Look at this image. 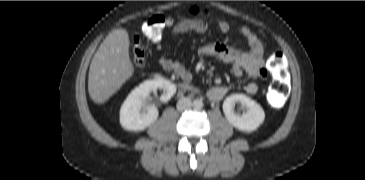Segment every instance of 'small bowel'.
<instances>
[{"instance_id":"1","label":"small bowel","mask_w":365,"mask_h":180,"mask_svg":"<svg viewBox=\"0 0 365 180\" xmlns=\"http://www.w3.org/2000/svg\"><path fill=\"white\" fill-rule=\"evenodd\" d=\"M165 20L166 26L174 36L190 31L204 33L208 29L204 21L191 20L183 16L177 19L167 17ZM217 26L222 33H228L230 30V25L224 20H217ZM240 33L249 46L248 51H242L218 42L200 45L198 47V54L201 57H212L229 63L231 72L236 77L247 73L249 80L244 87V91L249 95H254L258 91V81L266 76L267 58L263 43L256 34L246 26L240 28ZM156 43L157 50L163 52L160 40L156 41ZM159 64L163 69L174 72L184 82L191 80V73L182 63L161 55ZM226 92L225 87L214 86L208 89L207 94L211 101L217 102L225 96Z\"/></svg>"}]
</instances>
